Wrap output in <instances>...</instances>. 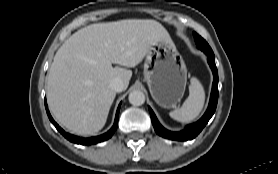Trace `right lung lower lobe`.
<instances>
[{"label": "right lung lower lobe", "mask_w": 278, "mask_h": 174, "mask_svg": "<svg viewBox=\"0 0 278 174\" xmlns=\"http://www.w3.org/2000/svg\"><path fill=\"white\" fill-rule=\"evenodd\" d=\"M45 107H46L48 117H49L50 121L52 122V124L56 127V129L69 141H71L73 143H76V144H82V145L96 144L98 142L105 141V140L109 139L114 134V132L117 128L118 116H119V110H120V105H119V107L117 109V112H116L114 125L112 126V128L108 132H106V133H104L100 136H96V137L80 138V137L74 136L72 134L66 133L62 128L59 127V125L51 117L50 112H49L48 107H47L46 101H45Z\"/></svg>", "instance_id": "98d812e1"}]
</instances>
